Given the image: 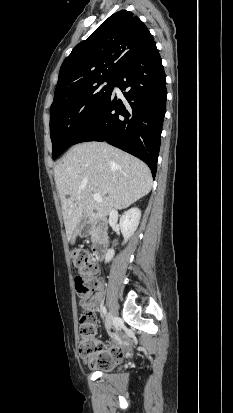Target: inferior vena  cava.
Returning <instances> with one entry per match:
<instances>
[{
	"label": "inferior vena cava",
	"mask_w": 233,
	"mask_h": 413,
	"mask_svg": "<svg viewBox=\"0 0 233 413\" xmlns=\"http://www.w3.org/2000/svg\"><path fill=\"white\" fill-rule=\"evenodd\" d=\"M113 212H114V210H111V211H110V214H112Z\"/></svg>",
	"instance_id": "obj_1"
}]
</instances>
